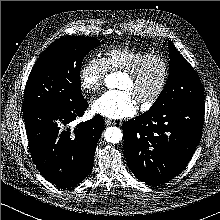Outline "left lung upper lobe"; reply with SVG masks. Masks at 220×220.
<instances>
[{
  "mask_svg": "<svg viewBox=\"0 0 220 220\" xmlns=\"http://www.w3.org/2000/svg\"><path fill=\"white\" fill-rule=\"evenodd\" d=\"M168 46L169 76L163 91L149 111L204 101V90L198 74L169 40Z\"/></svg>",
  "mask_w": 220,
  "mask_h": 220,
  "instance_id": "obj_1",
  "label": "left lung upper lobe"
}]
</instances>
